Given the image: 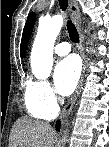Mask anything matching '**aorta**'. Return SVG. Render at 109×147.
Masks as SVG:
<instances>
[{
  "label": "aorta",
  "mask_w": 109,
  "mask_h": 147,
  "mask_svg": "<svg viewBox=\"0 0 109 147\" xmlns=\"http://www.w3.org/2000/svg\"><path fill=\"white\" fill-rule=\"evenodd\" d=\"M62 15L39 21V27L31 51V69L38 79L49 77L53 65V48L58 33L63 26Z\"/></svg>",
  "instance_id": "762f6f07"
}]
</instances>
